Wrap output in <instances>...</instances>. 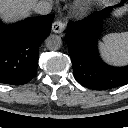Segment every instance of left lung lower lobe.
Wrapping results in <instances>:
<instances>
[{
  "label": "left lung lower lobe",
  "mask_w": 128,
  "mask_h": 128,
  "mask_svg": "<svg viewBox=\"0 0 128 128\" xmlns=\"http://www.w3.org/2000/svg\"><path fill=\"white\" fill-rule=\"evenodd\" d=\"M126 0H122L121 4ZM119 5V6H120ZM110 8L94 13L85 20L68 24L65 39L72 60L75 79L94 90H106L128 83V66L111 67L98 56L96 43L99 24Z\"/></svg>",
  "instance_id": "0a47b994"
}]
</instances>
